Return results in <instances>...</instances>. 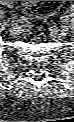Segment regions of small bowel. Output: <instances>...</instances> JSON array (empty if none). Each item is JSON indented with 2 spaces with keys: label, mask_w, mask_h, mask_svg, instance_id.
Wrapping results in <instances>:
<instances>
[{
  "label": "small bowel",
  "mask_w": 74,
  "mask_h": 122,
  "mask_svg": "<svg viewBox=\"0 0 74 122\" xmlns=\"http://www.w3.org/2000/svg\"><path fill=\"white\" fill-rule=\"evenodd\" d=\"M4 5H11L13 1H1Z\"/></svg>",
  "instance_id": "1"
}]
</instances>
